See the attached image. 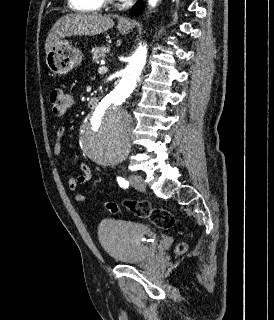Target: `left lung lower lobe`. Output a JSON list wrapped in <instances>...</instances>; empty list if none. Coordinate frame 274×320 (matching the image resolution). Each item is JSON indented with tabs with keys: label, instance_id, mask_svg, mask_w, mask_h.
Instances as JSON below:
<instances>
[{
	"label": "left lung lower lobe",
	"instance_id": "0a47b994",
	"mask_svg": "<svg viewBox=\"0 0 274 320\" xmlns=\"http://www.w3.org/2000/svg\"><path fill=\"white\" fill-rule=\"evenodd\" d=\"M144 10V6H143V3H142V0H138L135 5L130 9V14L131 15H140Z\"/></svg>",
	"mask_w": 274,
	"mask_h": 320
}]
</instances>
